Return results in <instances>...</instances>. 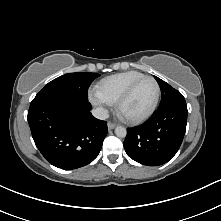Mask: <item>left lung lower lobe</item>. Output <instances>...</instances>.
<instances>
[{
    "mask_svg": "<svg viewBox=\"0 0 221 221\" xmlns=\"http://www.w3.org/2000/svg\"><path fill=\"white\" fill-rule=\"evenodd\" d=\"M186 102L159 108L145 123L128 128L123 143L127 155L147 166L168 162L182 143L187 124Z\"/></svg>",
    "mask_w": 221,
    "mask_h": 221,
    "instance_id": "obj_1",
    "label": "left lung lower lobe"
}]
</instances>
